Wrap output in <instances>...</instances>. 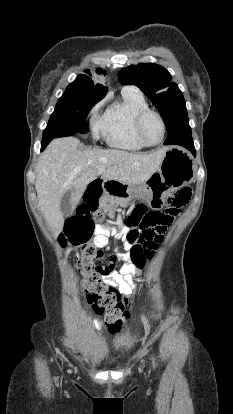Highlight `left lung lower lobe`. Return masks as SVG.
<instances>
[{
	"label": "left lung lower lobe",
	"mask_w": 233,
	"mask_h": 414,
	"mask_svg": "<svg viewBox=\"0 0 233 414\" xmlns=\"http://www.w3.org/2000/svg\"><path fill=\"white\" fill-rule=\"evenodd\" d=\"M165 145H180L196 154L191 136V128L187 114L181 116L169 130V135L164 142Z\"/></svg>",
	"instance_id": "1"
}]
</instances>
